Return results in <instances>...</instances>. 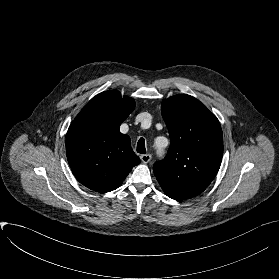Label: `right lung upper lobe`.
<instances>
[{"mask_svg": "<svg viewBox=\"0 0 279 279\" xmlns=\"http://www.w3.org/2000/svg\"><path fill=\"white\" fill-rule=\"evenodd\" d=\"M135 108V101L117 90L92 98L71 123L66 136L69 165L80 183L96 192L118 188L140 163L120 124Z\"/></svg>", "mask_w": 279, "mask_h": 279, "instance_id": "cb5924a9", "label": "right lung upper lobe"}]
</instances>
